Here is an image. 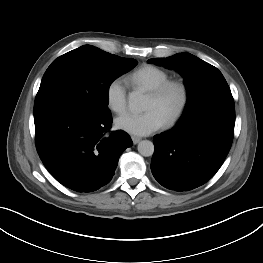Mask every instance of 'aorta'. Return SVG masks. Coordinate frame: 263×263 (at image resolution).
<instances>
[{
  "label": "aorta",
  "instance_id": "762f6f07",
  "mask_svg": "<svg viewBox=\"0 0 263 263\" xmlns=\"http://www.w3.org/2000/svg\"><path fill=\"white\" fill-rule=\"evenodd\" d=\"M128 104L132 111L140 112L145 108V96L139 91H133L129 94ZM137 149L142 156L149 157L154 153V144L149 140H143L139 142Z\"/></svg>",
  "mask_w": 263,
  "mask_h": 263
}]
</instances>
